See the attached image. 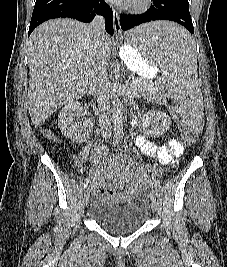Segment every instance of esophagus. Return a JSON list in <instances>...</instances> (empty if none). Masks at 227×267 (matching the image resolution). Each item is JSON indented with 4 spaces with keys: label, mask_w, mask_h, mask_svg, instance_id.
<instances>
[{
    "label": "esophagus",
    "mask_w": 227,
    "mask_h": 267,
    "mask_svg": "<svg viewBox=\"0 0 227 267\" xmlns=\"http://www.w3.org/2000/svg\"><path fill=\"white\" fill-rule=\"evenodd\" d=\"M113 17H114V35L119 37L122 35V29L120 25V13L116 8H113Z\"/></svg>",
    "instance_id": "1"
}]
</instances>
